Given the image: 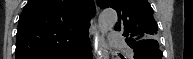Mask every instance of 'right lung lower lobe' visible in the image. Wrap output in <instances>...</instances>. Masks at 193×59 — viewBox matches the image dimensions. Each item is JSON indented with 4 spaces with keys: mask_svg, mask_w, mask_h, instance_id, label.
<instances>
[{
    "mask_svg": "<svg viewBox=\"0 0 193 59\" xmlns=\"http://www.w3.org/2000/svg\"><path fill=\"white\" fill-rule=\"evenodd\" d=\"M60 59H92V50L89 39Z\"/></svg>",
    "mask_w": 193,
    "mask_h": 59,
    "instance_id": "1",
    "label": "right lung lower lobe"
}]
</instances>
